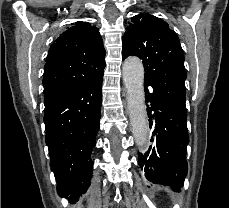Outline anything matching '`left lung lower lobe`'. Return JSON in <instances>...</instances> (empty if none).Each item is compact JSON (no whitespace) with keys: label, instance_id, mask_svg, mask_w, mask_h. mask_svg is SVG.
<instances>
[{"label":"left lung lower lobe","instance_id":"0a47b994","mask_svg":"<svg viewBox=\"0 0 229 208\" xmlns=\"http://www.w3.org/2000/svg\"><path fill=\"white\" fill-rule=\"evenodd\" d=\"M147 86L144 82L145 94L149 93ZM145 98L151 103L150 107L147 106V113L149 126L154 131L152 145L144 155L139 154L138 164L144 168L147 180L172 186L179 192L188 170L186 108L175 104L155 88Z\"/></svg>","mask_w":229,"mask_h":208}]
</instances>
